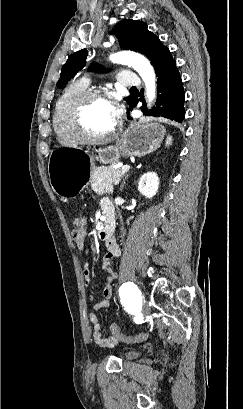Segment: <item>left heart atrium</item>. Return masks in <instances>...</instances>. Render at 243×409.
Wrapping results in <instances>:
<instances>
[{"label": "left heart atrium", "instance_id": "1", "mask_svg": "<svg viewBox=\"0 0 243 409\" xmlns=\"http://www.w3.org/2000/svg\"><path fill=\"white\" fill-rule=\"evenodd\" d=\"M115 117H116V121H117V119L119 118V112L118 111L115 112Z\"/></svg>", "mask_w": 243, "mask_h": 409}]
</instances>
